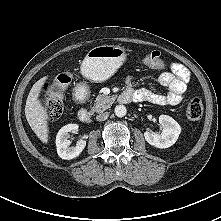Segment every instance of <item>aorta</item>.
<instances>
[{
  "label": "aorta",
  "instance_id": "aorta-1",
  "mask_svg": "<svg viewBox=\"0 0 221 221\" xmlns=\"http://www.w3.org/2000/svg\"><path fill=\"white\" fill-rule=\"evenodd\" d=\"M114 113L117 117H124L127 113V109L124 105H117L115 107Z\"/></svg>",
  "mask_w": 221,
  "mask_h": 221
}]
</instances>
